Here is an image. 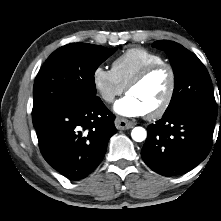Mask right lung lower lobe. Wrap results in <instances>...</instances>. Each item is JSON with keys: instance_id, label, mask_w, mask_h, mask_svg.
Returning a JSON list of instances; mask_svg holds the SVG:
<instances>
[{"instance_id": "obj_1", "label": "right lung lower lobe", "mask_w": 221, "mask_h": 221, "mask_svg": "<svg viewBox=\"0 0 221 221\" xmlns=\"http://www.w3.org/2000/svg\"><path fill=\"white\" fill-rule=\"evenodd\" d=\"M114 119L99 97L88 103L59 104L34 124L41 154L70 181L83 179L104 158L108 141L117 132Z\"/></svg>"}]
</instances>
